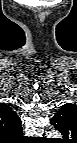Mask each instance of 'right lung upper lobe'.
<instances>
[{
    "label": "right lung upper lobe",
    "mask_w": 77,
    "mask_h": 143,
    "mask_svg": "<svg viewBox=\"0 0 77 143\" xmlns=\"http://www.w3.org/2000/svg\"><path fill=\"white\" fill-rule=\"evenodd\" d=\"M0 132L11 137L22 135L20 118L6 104L0 105Z\"/></svg>",
    "instance_id": "right-lung-upper-lobe-1"
}]
</instances>
